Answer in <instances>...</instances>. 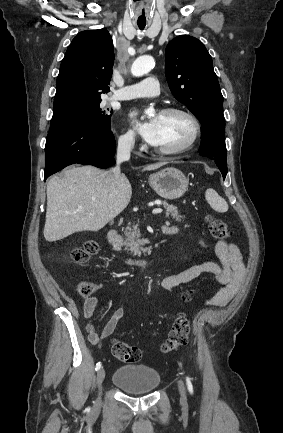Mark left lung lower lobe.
Returning <instances> with one entry per match:
<instances>
[{"label": "left lung lower lobe", "mask_w": 283, "mask_h": 433, "mask_svg": "<svg viewBox=\"0 0 283 433\" xmlns=\"http://www.w3.org/2000/svg\"><path fill=\"white\" fill-rule=\"evenodd\" d=\"M210 131H215V129H210ZM199 152L201 156L209 157L210 159L215 160L216 165L225 179L227 174V150L225 145V137L223 138L217 132H203L201 135V146Z\"/></svg>", "instance_id": "1"}]
</instances>
